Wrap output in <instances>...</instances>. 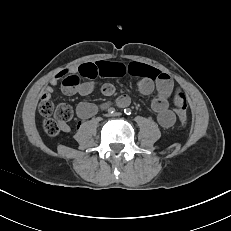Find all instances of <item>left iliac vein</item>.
<instances>
[{
    "instance_id": "1",
    "label": "left iliac vein",
    "mask_w": 231,
    "mask_h": 231,
    "mask_svg": "<svg viewBox=\"0 0 231 231\" xmlns=\"http://www.w3.org/2000/svg\"><path fill=\"white\" fill-rule=\"evenodd\" d=\"M114 116H120V113H115Z\"/></svg>"
}]
</instances>
